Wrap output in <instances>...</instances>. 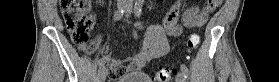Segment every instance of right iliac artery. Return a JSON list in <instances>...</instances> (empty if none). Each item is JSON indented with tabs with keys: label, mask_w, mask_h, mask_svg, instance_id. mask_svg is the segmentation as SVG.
Instances as JSON below:
<instances>
[{
	"label": "right iliac artery",
	"mask_w": 279,
	"mask_h": 82,
	"mask_svg": "<svg viewBox=\"0 0 279 82\" xmlns=\"http://www.w3.org/2000/svg\"><path fill=\"white\" fill-rule=\"evenodd\" d=\"M123 15H124V8L118 9L114 14V19L120 20L123 17ZM98 63H99L100 68L104 66V63L102 62V60L99 61Z\"/></svg>",
	"instance_id": "obj_1"
}]
</instances>
